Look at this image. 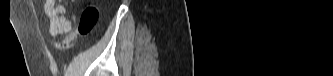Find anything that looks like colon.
<instances>
[{
	"label": "colon",
	"mask_w": 333,
	"mask_h": 76,
	"mask_svg": "<svg viewBox=\"0 0 333 76\" xmlns=\"http://www.w3.org/2000/svg\"><path fill=\"white\" fill-rule=\"evenodd\" d=\"M98 21V10L95 6L86 7L78 23L77 30L68 34L62 41L58 43V48L61 50L72 46L77 35L86 36L92 32Z\"/></svg>",
	"instance_id": "colon-1"
}]
</instances>
